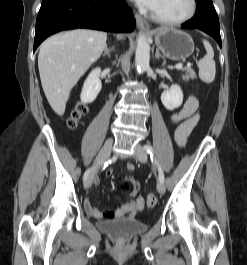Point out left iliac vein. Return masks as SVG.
Returning a JSON list of instances; mask_svg holds the SVG:
<instances>
[{"instance_id":"4c4485c4","label":"left iliac vein","mask_w":247,"mask_h":265,"mask_svg":"<svg viewBox=\"0 0 247 265\" xmlns=\"http://www.w3.org/2000/svg\"><path fill=\"white\" fill-rule=\"evenodd\" d=\"M136 157L137 159L142 162V163H146L147 159H148V154L147 151L141 147V146H137L136 147ZM157 190L160 194H164L165 193V185L162 182H158L157 184Z\"/></svg>"}]
</instances>
